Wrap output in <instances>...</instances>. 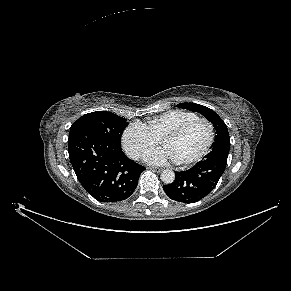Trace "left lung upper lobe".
Segmentation results:
<instances>
[{
	"instance_id": "5c2ea615",
	"label": "left lung upper lobe",
	"mask_w": 291,
	"mask_h": 291,
	"mask_svg": "<svg viewBox=\"0 0 291 291\" xmlns=\"http://www.w3.org/2000/svg\"><path fill=\"white\" fill-rule=\"evenodd\" d=\"M177 107L198 112L213 123L216 130L215 142L213 145L221 142H230L226 124L212 109L196 103H180Z\"/></svg>"
}]
</instances>
